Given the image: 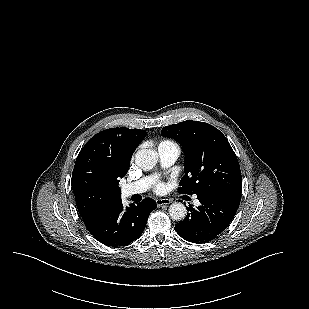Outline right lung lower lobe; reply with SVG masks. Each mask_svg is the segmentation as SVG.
<instances>
[{
	"mask_svg": "<svg viewBox=\"0 0 309 309\" xmlns=\"http://www.w3.org/2000/svg\"><path fill=\"white\" fill-rule=\"evenodd\" d=\"M156 207V202L149 198L126 208L120 200L85 225L99 242L112 247L126 246L142 234L150 212Z\"/></svg>",
	"mask_w": 309,
	"mask_h": 309,
	"instance_id": "right-lung-lower-lobe-1",
	"label": "right lung lower lobe"
}]
</instances>
